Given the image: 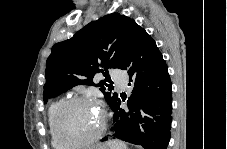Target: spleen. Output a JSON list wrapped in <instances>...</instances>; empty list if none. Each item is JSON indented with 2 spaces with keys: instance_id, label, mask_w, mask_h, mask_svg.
I'll return each instance as SVG.
<instances>
[{
  "instance_id": "spleen-1",
  "label": "spleen",
  "mask_w": 227,
  "mask_h": 149,
  "mask_svg": "<svg viewBox=\"0 0 227 149\" xmlns=\"http://www.w3.org/2000/svg\"><path fill=\"white\" fill-rule=\"evenodd\" d=\"M108 145L110 149H127L126 144L121 141H111Z\"/></svg>"
}]
</instances>
